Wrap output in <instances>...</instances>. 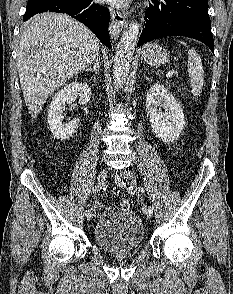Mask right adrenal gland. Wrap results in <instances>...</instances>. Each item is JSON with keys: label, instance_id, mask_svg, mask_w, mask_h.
Returning <instances> with one entry per match:
<instances>
[{"label": "right adrenal gland", "instance_id": "2a0ac1e0", "mask_svg": "<svg viewBox=\"0 0 233 294\" xmlns=\"http://www.w3.org/2000/svg\"><path fill=\"white\" fill-rule=\"evenodd\" d=\"M99 69H100V59L97 57L95 59L93 67H86L85 71L86 72L87 71H92L97 75L99 73Z\"/></svg>", "mask_w": 233, "mask_h": 294}]
</instances>
